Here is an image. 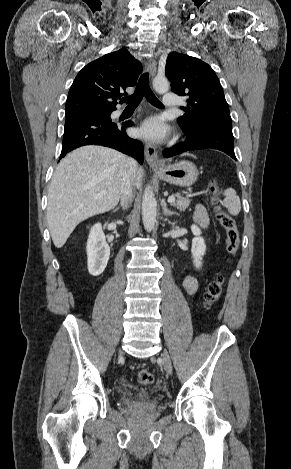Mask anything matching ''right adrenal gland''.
<instances>
[{
  "label": "right adrenal gland",
  "instance_id": "right-adrenal-gland-1",
  "mask_svg": "<svg viewBox=\"0 0 291 469\" xmlns=\"http://www.w3.org/2000/svg\"><path fill=\"white\" fill-rule=\"evenodd\" d=\"M118 210H119V207L115 208V209H114V212H116V211H118Z\"/></svg>",
  "mask_w": 291,
  "mask_h": 469
}]
</instances>
